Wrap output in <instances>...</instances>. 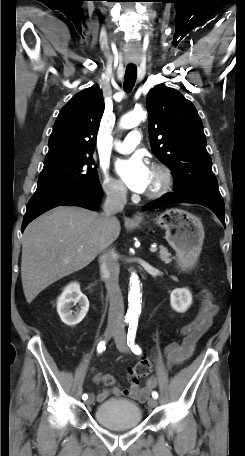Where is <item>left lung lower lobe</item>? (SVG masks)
Returning a JSON list of instances; mask_svg holds the SVG:
<instances>
[{
  "mask_svg": "<svg viewBox=\"0 0 245 456\" xmlns=\"http://www.w3.org/2000/svg\"><path fill=\"white\" fill-rule=\"evenodd\" d=\"M178 203H195L212 210L225 226V206L222 197L203 194L167 193L163 197L146 204L143 209L150 210Z\"/></svg>",
  "mask_w": 245,
  "mask_h": 456,
  "instance_id": "left-lung-lower-lobe-1",
  "label": "left lung lower lobe"
}]
</instances>
